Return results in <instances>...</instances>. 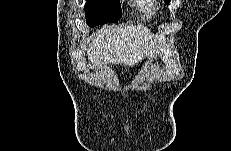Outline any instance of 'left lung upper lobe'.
I'll return each instance as SVG.
<instances>
[{
  "label": "left lung upper lobe",
  "instance_id": "1",
  "mask_svg": "<svg viewBox=\"0 0 231 151\" xmlns=\"http://www.w3.org/2000/svg\"><path fill=\"white\" fill-rule=\"evenodd\" d=\"M166 3H169L171 0H164Z\"/></svg>",
  "mask_w": 231,
  "mask_h": 151
}]
</instances>
